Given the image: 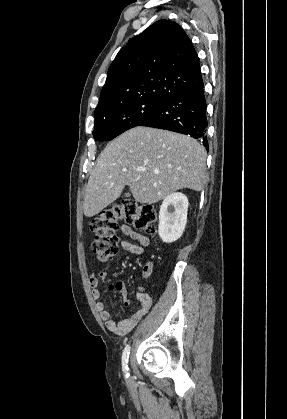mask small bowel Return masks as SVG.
<instances>
[{
  "label": "small bowel",
  "mask_w": 287,
  "mask_h": 419,
  "mask_svg": "<svg viewBox=\"0 0 287 419\" xmlns=\"http://www.w3.org/2000/svg\"><path fill=\"white\" fill-rule=\"evenodd\" d=\"M121 231L123 235L137 241V244H134L127 240H122L120 242L121 248L135 256H141L143 254L144 247H146L149 243L148 238L140 233H137L128 226H123ZM150 274L151 269L146 268L144 271V276L147 278L150 276ZM104 278V272H101L99 276H96L94 274L90 276L89 282L90 286L92 287L91 294L95 300H98L100 298V291L98 289V285L100 283V280H103ZM109 288L111 290L119 292L122 295L125 305L129 306L132 304V301L128 298L126 285L123 281L110 283ZM135 297L140 303L139 308L128 318L120 322H116L111 319L110 312L106 309L105 304L103 302L99 301L96 303V309L99 312L101 319L105 322V325L109 331L118 335L126 334L131 329H133L134 326L140 321V319L148 312L149 308L152 305L151 296L146 292L137 291L135 293Z\"/></svg>",
  "instance_id": "1"
}]
</instances>
